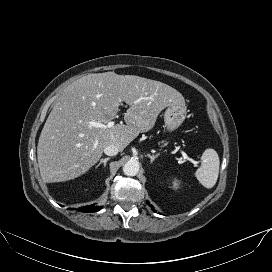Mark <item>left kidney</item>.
Here are the masks:
<instances>
[{
    "label": "left kidney",
    "instance_id": "5707ae66",
    "mask_svg": "<svg viewBox=\"0 0 272 272\" xmlns=\"http://www.w3.org/2000/svg\"><path fill=\"white\" fill-rule=\"evenodd\" d=\"M178 186H179V184H178L177 181L173 182V187H174V188H178Z\"/></svg>",
    "mask_w": 272,
    "mask_h": 272
}]
</instances>
